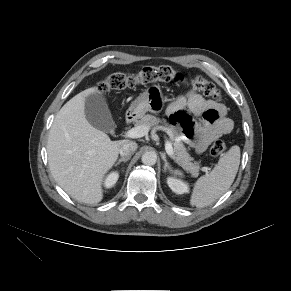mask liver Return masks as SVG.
<instances>
[{"label":"liver","instance_id":"liver-1","mask_svg":"<svg viewBox=\"0 0 291 291\" xmlns=\"http://www.w3.org/2000/svg\"><path fill=\"white\" fill-rule=\"evenodd\" d=\"M100 93L91 87L70 99L51 126L47 153L49 168L58 185L72 198L87 204L103 199L102 182L128 140L112 141L85 116V98Z\"/></svg>","mask_w":291,"mask_h":291}]
</instances>
